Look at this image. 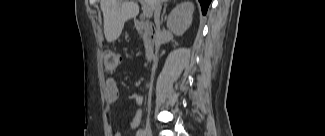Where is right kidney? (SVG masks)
Returning <instances> with one entry per match:
<instances>
[{"label": "right kidney", "instance_id": "right-kidney-1", "mask_svg": "<svg viewBox=\"0 0 325 136\" xmlns=\"http://www.w3.org/2000/svg\"><path fill=\"white\" fill-rule=\"evenodd\" d=\"M194 5L189 0L178 4L167 19V27L177 36H182L190 27L193 19Z\"/></svg>", "mask_w": 325, "mask_h": 136}]
</instances>
